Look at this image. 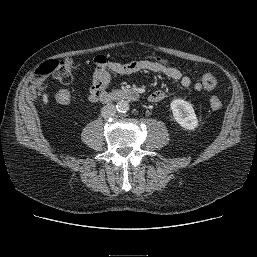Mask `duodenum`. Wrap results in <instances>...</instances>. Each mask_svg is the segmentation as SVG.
<instances>
[{
    "instance_id": "duodenum-1",
    "label": "duodenum",
    "mask_w": 257,
    "mask_h": 257,
    "mask_svg": "<svg viewBox=\"0 0 257 257\" xmlns=\"http://www.w3.org/2000/svg\"><path fill=\"white\" fill-rule=\"evenodd\" d=\"M139 99V93L130 88L120 89L112 92H104L100 95L99 100L102 103H109L114 100H131L137 101Z\"/></svg>"
}]
</instances>
